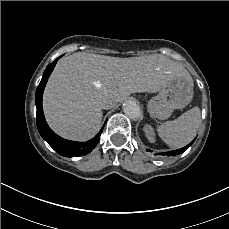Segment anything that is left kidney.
<instances>
[{
  "label": "left kidney",
  "instance_id": "obj_1",
  "mask_svg": "<svg viewBox=\"0 0 229 229\" xmlns=\"http://www.w3.org/2000/svg\"><path fill=\"white\" fill-rule=\"evenodd\" d=\"M143 131L145 132V135L147 139L149 140V142L154 143L155 142V133H154L152 126L149 124H145Z\"/></svg>",
  "mask_w": 229,
  "mask_h": 229
}]
</instances>
